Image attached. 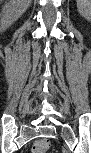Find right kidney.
<instances>
[{
	"mask_svg": "<svg viewBox=\"0 0 91 153\" xmlns=\"http://www.w3.org/2000/svg\"><path fill=\"white\" fill-rule=\"evenodd\" d=\"M21 0H9L2 9L1 31L11 26L27 9Z\"/></svg>",
	"mask_w": 91,
	"mask_h": 153,
	"instance_id": "right-kidney-1",
	"label": "right kidney"
}]
</instances>
